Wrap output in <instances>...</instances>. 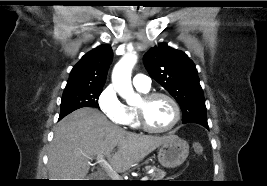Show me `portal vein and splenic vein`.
Segmentation results:
<instances>
[{
  "label": "portal vein and splenic vein",
  "instance_id": "obj_1",
  "mask_svg": "<svg viewBox=\"0 0 267 186\" xmlns=\"http://www.w3.org/2000/svg\"><path fill=\"white\" fill-rule=\"evenodd\" d=\"M97 162L99 165L105 170L107 175L112 179V180H122L121 176L113 169V167L104 159L103 155H98L96 158ZM148 177L144 176L142 177L141 181H147Z\"/></svg>",
  "mask_w": 267,
  "mask_h": 186
}]
</instances>
